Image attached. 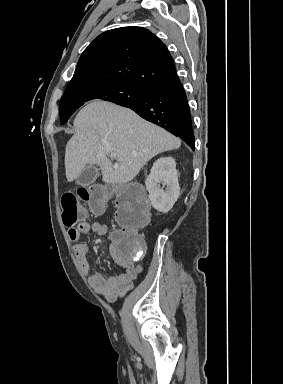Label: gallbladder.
I'll use <instances>...</instances> for the list:
<instances>
[{"instance_id":"obj_1","label":"gallbladder","mask_w":283,"mask_h":384,"mask_svg":"<svg viewBox=\"0 0 283 384\" xmlns=\"http://www.w3.org/2000/svg\"><path fill=\"white\" fill-rule=\"evenodd\" d=\"M96 176H97L96 168H91V166H86L81 176H78L76 180V184H79V186H82V188H85V186H90L92 182H95Z\"/></svg>"}]
</instances>
